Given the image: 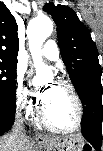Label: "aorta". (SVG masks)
Instances as JSON below:
<instances>
[{"mask_svg":"<svg viewBox=\"0 0 103 151\" xmlns=\"http://www.w3.org/2000/svg\"><path fill=\"white\" fill-rule=\"evenodd\" d=\"M52 31V21L46 15L38 16L32 19L28 24L27 37L29 40V48L37 72L48 70L42 61L41 47L45 40L51 35Z\"/></svg>","mask_w":103,"mask_h":151,"instance_id":"762f6f07","label":"aorta"}]
</instances>
